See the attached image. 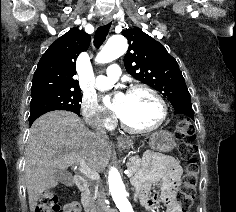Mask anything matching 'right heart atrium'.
<instances>
[{
  "mask_svg": "<svg viewBox=\"0 0 236 212\" xmlns=\"http://www.w3.org/2000/svg\"><path fill=\"white\" fill-rule=\"evenodd\" d=\"M81 113L86 123L95 129H108L112 126L109 117L96 97L84 96L81 101Z\"/></svg>",
  "mask_w": 236,
  "mask_h": 212,
  "instance_id": "obj_1",
  "label": "right heart atrium"
}]
</instances>
